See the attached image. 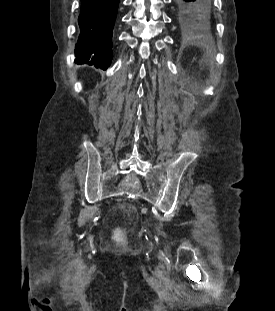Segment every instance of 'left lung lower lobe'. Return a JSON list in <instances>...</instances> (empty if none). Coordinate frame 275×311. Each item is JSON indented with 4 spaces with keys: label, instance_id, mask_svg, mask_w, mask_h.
Wrapping results in <instances>:
<instances>
[{
    "label": "left lung lower lobe",
    "instance_id": "0a47b994",
    "mask_svg": "<svg viewBox=\"0 0 275 311\" xmlns=\"http://www.w3.org/2000/svg\"><path fill=\"white\" fill-rule=\"evenodd\" d=\"M178 24L183 34H195L210 29V0H176Z\"/></svg>",
    "mask_w": 275,
    "mask_h": 311
}]
</instances>
